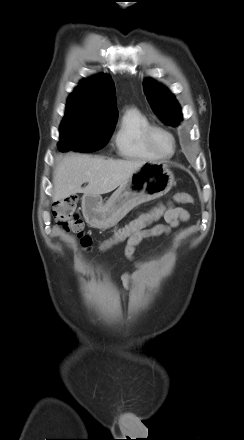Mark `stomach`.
Masks as SVG:
<instances>
[{"label": "stomach", "instance_id": "stomach-1", "mask_svg": "<svg viewBox=\"0 0 244 440\" xmlns=\"http://www.w3.org/2000/svg\"><path fill=\"white\" fill-rule=\"evenodd\" d=\"M175 185L169 166L147 162L127 179L104 203L100 196L86 195L82 209L86 222L98 229H108L140 204L162 197Z\"/></svg>", "mask_w": 244, "mask_h": 440}]
</instances>
